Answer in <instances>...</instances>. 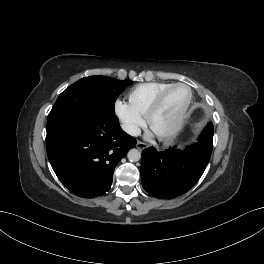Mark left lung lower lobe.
<instances>
[{"mask_svg": "<svg viewBox=\"0 0 264 264\" xmlns=\"http://www.w3.org/2000/svg\"><path fill=\"white\" fill-rule=\"evenodd\" d=\"M213 147V125L208 123L198 141L184 151L149 147L142 152L143 188L149 195L171 199L186 193L202 176Z\"/></svg>", "mask_w": 264, "mask_h": 264, "instance_id": "obj_1", "label": "left lung lower lobe"}]
</instances>
